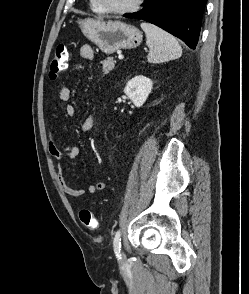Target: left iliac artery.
<instances>
[{"instance_id":"obj_1","label":"left iliac artery","mask_w":249,"mask_h":294,"mask_svg":"<svg viewBox=\"0 0 249 294\" xmlns=\"http://www.w3.org/2000/svg\"><path fill=\"white\" fill-rule=\"evenodd\" d=\"M121 233L120 230L116 231L115 237L113 240V247H114V252L116 254V257L118 259H121V254H120V248H121Z\"/></svg>"}]
</instances>
